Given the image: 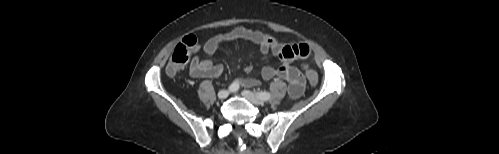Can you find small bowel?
<instances>
[{
	"label": "small bowel",
	"instance_id": "c3829d8e",
	"mask_svg": "<svg viewBox=\"0 0 499 154\" xmlns=\"http://www.w3.org/2000/svg\"><path fill=\"white\" fill-rule=\"evenodd\" d=\"M248 41L257 45L264 55L273 53L281 62L278 68L264 66L261 75L264 80L279 78L288 83V93L292 99L299 98L305 88L303 74L293 66L294 61L306 59L311 55V49L306 43L288 44L279 41L272 35L251 27L240 26L232 31L221 34L207 40L203 46L204 57H194L190 65V76L193 78H217L223 73V66L214 65L212 56L220 47L228 45L233 41ZM252 71L251 66L245 68V72ZM239 86L254 87L260 85V81L254 78L241 79L237 81Z\"/></svg>",
	"mask_w": 499,
	"mask_h": 154
}]
</instances>
